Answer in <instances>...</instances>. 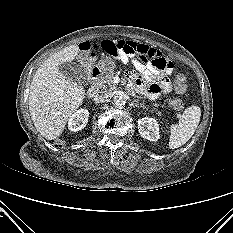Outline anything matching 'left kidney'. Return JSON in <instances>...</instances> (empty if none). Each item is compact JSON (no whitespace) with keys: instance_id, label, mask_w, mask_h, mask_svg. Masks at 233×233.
<instances>
[{"instance_id":"5707ae66","label":"left kidney","mask_w":233,"mask_h":233,"mask_svg":"<svg viewBox=\"0 0 233 233\" xmlns=\"http://www.w3.org/2000/svg\"><path fill=\"white\" fill-rule=\"evenodd\" d=\"M140 135L150 141H157L160 137L159 127L156 119L144 117L138 120Z\"/></svg>"}]
</instances>
